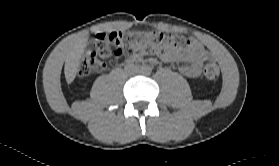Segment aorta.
<instances>
[{
    "instance_id": "1",
    "label": "aorta",
    "mask_w": 279,
    "mask_h": 166,
    "mask_svg": "<svg viewBox=\"0 0 279 166\" xmlns=\"http://www.w3.org/2000/svg\"><path fill=\"white\" fill-rule=\"evenodd\" d=\"M150 72H151L150 67H148V66H144V67H142V73H143V74H145V75H149V74H150Z\"/></svg>"
}]
</instances>
